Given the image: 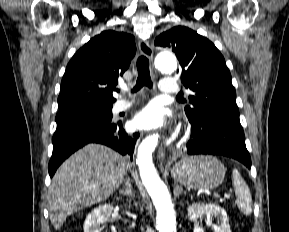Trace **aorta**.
Here are the masks:
<instances>
[{
    "label": "aorta",
    "instance_id": "1",
    "mask_svg": "<svg viewBox=\"0 0 289 232\" xmlns=\"http://www.w3.org/2000/svg\"><path fill=\"white\" fill-rule=\"evenodd\" d=\"M155 64L157 69L163 73H172L177 68L176 58L166 53H160ZM157 143L158 135H151L144 139L138 148L136 163L142 183L154 203L159 232H176L177 223L170 194L152 161V153Z\"/></svg>",
    "mask_w": 289,
    "mask_h": 232
}]
</instances>
